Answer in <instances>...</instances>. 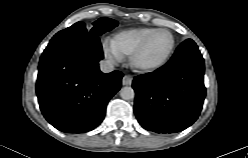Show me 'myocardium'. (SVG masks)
<instances>
[{"instance_id": "obj_1", "label": "myocardium", "mask_w": 248, "mask_h": 158, "mask_svg": "<svg viewBox=\"0 0 248 158\" xmlns=\"http://www.w3.org/2000/svg\"><path fill=\"white\" fill-rule=\"evenodd\" d=\"M159 32H165V33L169 34L171 37V45H170L168 52L158 62H156L154 64H150V65H142L139 62V58L141 57V55L145 51L147 44L150 41V39L152 38V36L155 35L156 33H159ZM175 46H176V40H175V37L171 31H169L168 29H164V28L155 29L152 32H150L142 40V42L139 44V46L131 54L130 65L135 71L140 72V73L154 72V71L160 69L161 67H163L168 62V60L170 59V57L172 56V54L174 52Z\"/></svg>"}]
</instances>
